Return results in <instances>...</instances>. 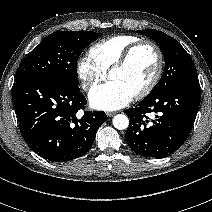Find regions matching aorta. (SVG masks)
I'll use <instances>...</instances> for the list:
<instances>
[{
  "label": "aorta",
  "instance_id": "1",
  "mask_svg": "<svg viewBox=\"0 0 212 212\" xmlns=\"http://www.w3.org/2000/svg\"><path fill=\"white\" fill-rule=\"evenodd\" d=\"M113 126L118 130L127 129L129 126V119L124 114H117L112 120Z\"/></svg>",
  "mask_w": 212,
  "mask_h": 212
}]
</instances>
